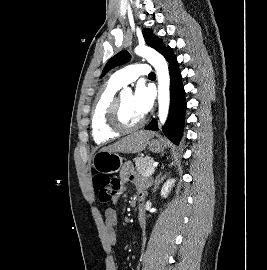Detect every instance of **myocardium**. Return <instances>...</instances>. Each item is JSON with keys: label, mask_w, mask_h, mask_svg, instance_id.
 <instances>
[{"label": "myocardium", "mask_w": 267, "mask_h": 270, "mask_svg": "<svg viewBox=\"0 0 267 270\" xmlns=\"http://www.w3.org/2000/svg\"><path fill=\"white\" fill-rule=\"evenodd\" d=\"M107 122L112 130L127 133L141 128L145 124V118L142 117L140 121L132 125L125 124L121 117V97H115L108 112Z\"/></svg>", "instance_id": "1"}]
</instances>
